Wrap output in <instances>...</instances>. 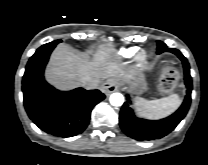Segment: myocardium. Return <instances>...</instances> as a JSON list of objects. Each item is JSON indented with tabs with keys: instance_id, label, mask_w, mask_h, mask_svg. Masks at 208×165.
Segmentation results:
<instances>
[{
	"instance_id": "1",
	"label": "myocardium",
	"mask_w": 208,
	"mask_h": 165,
	"mask_svg": "<svg viewBox=\"0 0 208 165\" xmlns=\"http://www.w3.org/2000/svg\"><path fill=\"white\" fill-rule=\"evenodd\" d=\"M138 59L141 60V61L145 60L146 59V53L144 51L139 53Z\"/></svg>"
}]
</instances>
